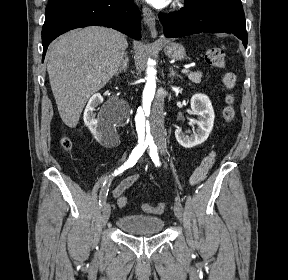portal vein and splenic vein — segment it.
Here are the masks:
<instances>
[{
    "mask_svg": "<svg viewBox=\"0 0 288 280\" xmlns=\"http://www.w3.org/2000/svg\"><path fill=\"white\" fill-rule=\"evenodd\" d=\"M188 72H189L188 69H183V70H182V73H188Z\"/></svg>",
    "mask_w": 288,
    "mask_h": 280,
    "instance_id": "1",
    "label": "portal vein and splenic vein"
}]
</instances>
